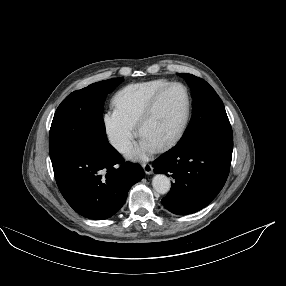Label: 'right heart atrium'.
Instances as JSON below:
<instances>
[{
    "label": "right heart atrium",
    "instance_id": "d8ad5b80",
    "mask_svg": "<svg viewBox=\"0 0 286 286\" xmlns=\"http://www.w3.org/2000/svg\"><path fill=\"white\" fill-rule=\"evenodd\" d=\"M105 131L110 144L118 151L129 149L136 135L135 125L116 107H111L103 116Z\"/></svg>",
    "mask_w": 286,
    "mask_h": 286
}]
</instances>
